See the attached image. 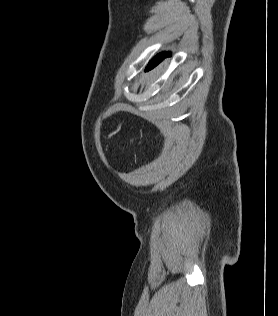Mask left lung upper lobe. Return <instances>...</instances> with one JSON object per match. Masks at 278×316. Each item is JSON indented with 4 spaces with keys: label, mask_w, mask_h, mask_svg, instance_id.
<instances>
[{
    "label": "left lung upper lobe",
    "mask_w": 278,
    "mask_h": 316,
    "mask_svg": "<svg viewBox=\"0 0 278 316\" xmlns=\"http://www.w3.org/2000/svg\"><path fill=\"white\" fill-rule=\"evenodd\" d=\"M162 56V53H159L158 55H156L148 64V66L146 67L145 71L151 70L152 68H154L158 62L160 61V58Z\"/></svg>",
    "instance_id": "obj_1"
}]
</instances>
